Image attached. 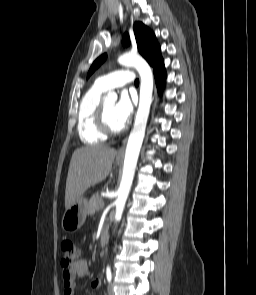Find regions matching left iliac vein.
I'll return each mask as SVG.
<instances>
[{
	"instance_id": "left-iliac-vein-1",
	"label": "left iliac vein",
	"mask_w": 256,
	"mask_h": 295,
	"mask_svg": "<svg viewBox=\"0 0 256 295\" xmlns=\"http://www.w3.org/2000/svg\"><path fill=\"white\" fill-rule=\"evenodd\" d=\"M108 295H114L113 285L109 284L108 286Z\"/></svg>"
}]
</instances>
